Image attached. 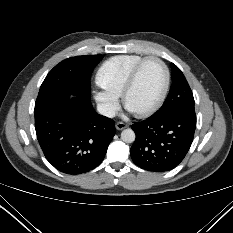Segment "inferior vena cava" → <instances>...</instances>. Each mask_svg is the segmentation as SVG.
Wrapping results in <instances>:
<instances>
[{
    "instance_id": "602c4592",
    "label": "inferior vena cava",
    "mask_w": 233,
    "mask_h": 233,
    "mask_svg": "<svg viewBox=\"0 0 233 233\" xmlns=\"http://www.w3.org/2000/svg\"><path fill=\"white\" fill-rule=\"evenodd\" d=\"M97 111L99 114L109 118H113L116 114V110L112 106L104 103L97 104Z\"/></svg>"
}]
</instances>
